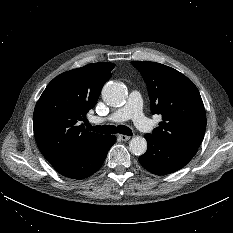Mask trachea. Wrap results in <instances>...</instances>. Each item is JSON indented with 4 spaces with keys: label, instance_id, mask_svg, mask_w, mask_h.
<instances>
[{
    "label": "trachea",
    "instance_id": "3493384b",
    "mask_svg": "<svg viewBox=\"0 0 233 233\" xmlns=\"http://www.w3.org/2000/svg\"><path fill=\"white\" fill-rule=\"evenodd\" d=\"M87 127L90 131H94L101 134L120 133L128 136L132 135L131 129L125 125H119L118 127H116L113 125L92 126L91 124H88Z\"/></svg>",
    "mask_w": 233,
    "mask_h": 233
}]
</instances>
